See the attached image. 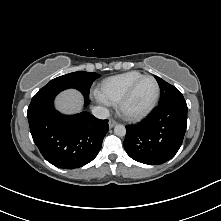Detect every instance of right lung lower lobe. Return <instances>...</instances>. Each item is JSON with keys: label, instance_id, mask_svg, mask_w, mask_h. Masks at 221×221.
Returning <instances> with one entry per match:
<instances>
[{"label": "right lung lower lobe", "instance_id": "1", "mask_svg": "<svg viewBox=\"0 0 221 221\" xmlns=\"http://www.w3.org/2000/svg\"><path fill=\"white\" fill-rule=\"evenodd\" d=\"M56 94L32 99L27 117L32 138L43 157L52 165L75 169L91 162L99 153L109 130L108 120L88 112L62 115L54 108ZM85 98V105L89 98Z\"/></svg>", "mask_w": 221, "mask_h": 221}]
</instances>
